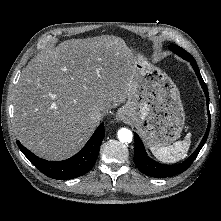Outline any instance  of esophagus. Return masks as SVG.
I'll return each mask as SVG.
<instances>
[{
    "label": "esophagus",
    "instance_id": "34e87169",
    "mask_svg": "<svg viewBox=\"0 0 221 221\" xmlns=\"http://www.w3.org/2000/svg\"><path fill=\"white\" fill-rule=\"evenodd\" d=\"M116 117H117V119H119V120H123V119H124V113H123V111H122V110H119V111L117 112Z\"/></svg>",
    "mask_w": 221,
    "mask_h": 221
}]
</instances>
